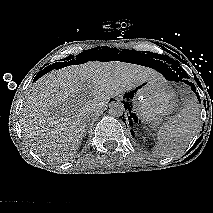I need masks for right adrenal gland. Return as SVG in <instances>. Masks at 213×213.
Here are the masks:
<instances>
[{
	"mask_svg": "<svg viewBox=\"0 0 213 213\" xmlns=\"http://www.w3.org/2000/svg\"><path fill=\"white\" fill-rule=\"evenodd\" d=\"M87 128H88V127H86V131H85V134H84V135H86V132H87Z\"/></svg>",
	"mask_w": 213,
	"mask_h": 213,
	"instance_id": "right-adrenal-gland-1",
	"label": "right adrenal gland"
}]
</instances>
